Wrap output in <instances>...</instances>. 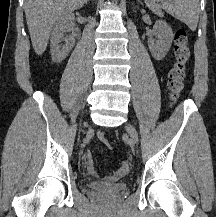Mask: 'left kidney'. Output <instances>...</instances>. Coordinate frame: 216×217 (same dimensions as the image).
Instances as JSON below:
<instances>
[{
    "mask_svg": "<svg viewBox=\"0 0 216 217\" xmlns=\"http://www.w3.org/2000/svg\"><path fill=\"white\" fill-rule=\"evenodd\" d=\"M172 40L173 31L171 27L165 21H156L152 36L148 39V47L154 59L162 60L166 56L171 47Z\"/></svg>",
    "mask_w": 216,
    "mask_h": 217,
    "instance_id": "5707ae66",
    "label": "left kidney"
}]
</instances>
